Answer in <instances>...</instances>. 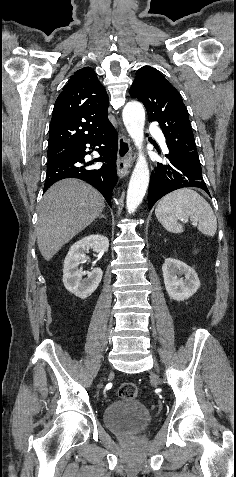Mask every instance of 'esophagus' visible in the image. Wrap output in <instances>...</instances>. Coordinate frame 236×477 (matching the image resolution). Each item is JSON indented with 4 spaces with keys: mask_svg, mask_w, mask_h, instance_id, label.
I'll list each match as a JSON object with an SVG mask.
<instances>
[{
    "mask_svg": "<svg viewBox=\"0 0 236 477\" xmlns=\"http://www.w3.org/2000/svg\"><path fill=\"white\" fill-rule=\"evenodd\" d=\"M133 162L132 148L130 140L123 134L118 138V152H117V173L120 178L125 177L131 164Z\"/></svg>",
    "mask_w": 236,
    "mask_h": 477,
    "instance_id": "obj_1",
    "label": "esophagus"
}]
</instances>
